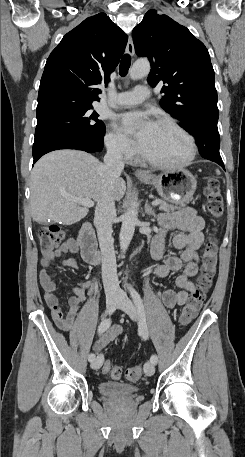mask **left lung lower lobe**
Listing matches in <instances>:
<instances>
[{"label":"left lung lower lobe","instance_id":"left-lung-lower-lobe-1","mask_svg":"<svg viewBox=\"0 0 245 457\" xmlns=\"http://www.w3.org/2000/svg\"><path fill=\"white\" fill-rule=\"evenodd\" d=\"M183 129L195 137L203 158L216 162L225 169L219 153L220 136L217 128V120L202 118L198 121V125H189Z\"/></svg>","mask_w":245,"mask_h":457}]
</instances>
